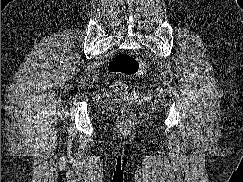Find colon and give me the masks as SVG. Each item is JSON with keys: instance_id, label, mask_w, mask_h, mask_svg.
Listing matches in <instances>:
<instances>
[{"instance_id": "5ec220e1", "label": "colon", "mask_w": 243, "mask_h": 182, "mask_svg": "<svg viewBox=\"0 0 243 182\" xmlns=\"http://www.w3.org/2000/svg\"><path fill=\"white\" fill-rule=\"evenodd\" d=\"M109 71L116 76H134L146 71L147 63L130 53L116 54L109 63ZM114 90L126 100H135L139 97L136 89L121 80L113 82Z\"/></svg>"}]
</instances>
